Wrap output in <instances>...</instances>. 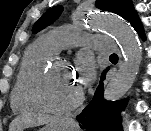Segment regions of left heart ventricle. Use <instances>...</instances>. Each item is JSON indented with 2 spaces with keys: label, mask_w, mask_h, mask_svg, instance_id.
<instances>
[{
  "label": "left heart ventricle",
  "mask_w": 151,
  "mask_h": 131,
  "mask_svg": "<svg viewBox=\"0 0 151 131\" xmlns=\"http://www.w3.org/2000/svg\"><path fill=\"white\" fill-rule=\"evenodd\" d=\"M81 90V85L68 66L57 64L41 83L44 99L52 105H62L72 100Z\"/></svg>",
  "instance_id": "obj_1"
}]
</instances>
